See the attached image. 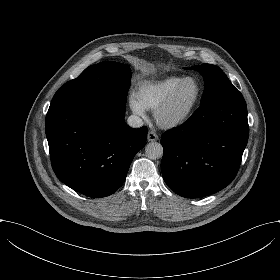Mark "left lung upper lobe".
Wrapping results in <instances>:
<instances>
[{
    "instance_id": "1",
    "label": "left lung upper lobe",
    "mask_w": 280,
    "mask_h": 280,
    "mask_svg": "<svg viewBox=\"0 0 280 280\" xmlns=\"http://www.w3.org/2000/svg\"><path fill=\"white\" fill-rule=\"evenodd\" d=\"M189 69L200 72L204 78V93L200 102L201 105L238 91L225 73L215 65L202 64Z\"/></svg>"
}]
</instances>
